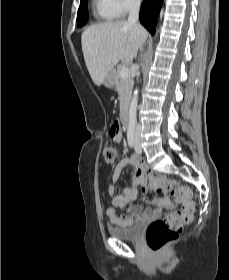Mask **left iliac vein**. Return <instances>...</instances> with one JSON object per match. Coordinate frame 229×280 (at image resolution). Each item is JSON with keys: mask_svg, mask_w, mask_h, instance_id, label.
I'll list each match as a JSON object with an SVG mask.
<instances>
[{"mask_svg": "<svg viewBox=\"0 0 229 280\" xmlns=\"http://www.w3.org/2000/svg\"><path fill=\"white\" fill-rule=\"evenodd\" d=\"M134 149H135V152L137 154H141L142 153V147H141L140 140H139L138 137L135 138Z\"/></svg>", "mask_w": 229, "mask_h": 280, "instance_id": "obj_1", "label": "left iliac vein"}]
</instances>
